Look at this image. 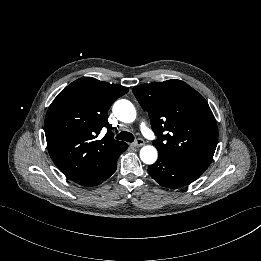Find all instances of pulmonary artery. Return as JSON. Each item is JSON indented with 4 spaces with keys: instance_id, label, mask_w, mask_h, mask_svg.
Wrapping results in <instances>:
<instances>
[{
    "instance_id": "1",
    "label": "pulmonary artery",
    "mask_w": 261,
    "mask_h": 261,
    "mask_svg": "<svg viewBox=\"0 0 261 261\" xmlns=\"http://www.w3.org/2000/svg\"><path fill=\"white\" fill-rule=\"evenodd\" d=\"M139 125H140V129H141L142 134L145 137H148L149 136V129L147 127L146 121L145 120H141Z\"/></svg>"
}]
</instances>
